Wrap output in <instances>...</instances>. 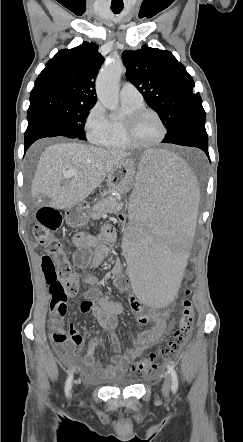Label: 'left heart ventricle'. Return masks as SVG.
Here are the masks:
<instances>
[{"label": "left heart ventricle", "mask_w": 243, "mask_h": 442, "mask_svg": "<svg viewBox=\"0 0 243 442\" xmlns=\"http://www.w3.org/2000/svg\"><path fill=\"white\" fill-rule=\"evenodd\" d=\"M161 132L157 118L152 114H145L136 123L134 138L140 143H152L160 137Z\"/></svg>", "instance_id": "1"}]
</instances>
